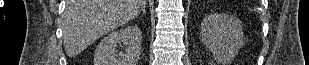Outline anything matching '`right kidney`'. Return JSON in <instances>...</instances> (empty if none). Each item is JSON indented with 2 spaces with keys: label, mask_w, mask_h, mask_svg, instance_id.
<instances>
[{
  "label": "right kidney",
  "mask_w": 309,
  "mask_h": 65,
  "mask_svg": "<svg viewBox=\"0 0 309 65\" xmlns=\"http://www.w3.org/2000/svg\"><path fill=\"white\" fill-rule=\"evenodd\" d=\"M142 33L137 26H127L104 37L94 54L95 65H137L141 54ZM124 44V53L118 47Z\"/></svg>",
  "instance_id": "right-kidney-1"
}]
</instances>
